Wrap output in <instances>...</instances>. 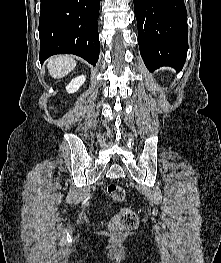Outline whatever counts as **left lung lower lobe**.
Segmentation results:
<instances>
[{
	"label": "left lung lower lobe",
	"instance_id": "left-lung-lower-lobe-1",
	"mask_svg": "<svg viewBox=\"0 0 221 263\" xmlns=\"http://www.w3.org/2000/svg\"><path fill=\"white\" fill-rule=\"evenodd\" d=\"M138 42L146 67L181 70L187 55V11L183 0H133Z\"/></svg>",
	"mask_w": 221,
	"mask_h": 263
}]
</instances>
